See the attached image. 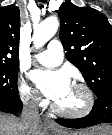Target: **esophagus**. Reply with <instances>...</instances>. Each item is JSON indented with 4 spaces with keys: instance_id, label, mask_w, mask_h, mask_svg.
Here are the masks:
<instances>
[{
    "instance_id": "obj_1",
    "label": "esophagus",
    "mask_w": 112,
    "mask_h": 135,
    "mask_svg": "<svg viewBox=\"0 0 112 135\" xmlns=\"http://www.w3.org/2000/svg\"><path fill=\"white\" fill-rule=\"evenodd\" d=\"M45 124L48 128L60 130L59 126L54 121H52L50 119H46Z\"/></svg>"
}]
</instances>
